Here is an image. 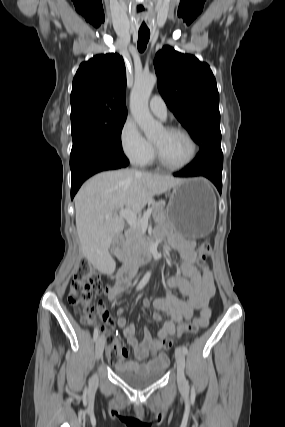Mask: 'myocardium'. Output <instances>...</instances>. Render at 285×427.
I'll return each instance as SVG.
<instances>
[{
    "label": "myocardium",
    "instance_id": "f54148a6",
    "mask_svg": "<svg viewBox=\"0 0 285 427\" xmlns=\"http://www.w3.org/2000/svg\"><path fill=\"white\" fill-rule=\"evenodd\" d=\"M164 129L167 132H176V133L183 134L188 139V141L190 142L191 153L185 162L178 164V165H172V164L167 163L163 159L158 146L155 143H153L154 155H155V159L158 162V164L161 167L168 169V170H172V171L182 170V169L188 167L189 165H191L193 163V161L195 160V158L197 156V152H198V146H197V143H196L194 137L192 136V134L187 129H185L184 127H181V126H167Z\"/></svg>",
    "mask_w": 285,
    "mask_h": 427
}]
</instances>
